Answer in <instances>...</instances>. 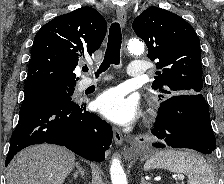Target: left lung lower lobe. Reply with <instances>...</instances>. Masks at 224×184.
Instances as JSON below:
<instances>
[{
	"label": "left lung lower lobe",
	"instance_id": "0a47b994",
	"mask_svg": "<svg viewBox=\"0 0 224 184\" xmlns=\"http://www.w3.org/2000/svg\"><path fill=\"white\" fill-rule=\"evenodd\" d=\"M152 134L157 148H190L211 154L216 148L207 104L202 94L171 96L161 104Z\"/></svg>",
	"mask_w": 224,
	"mask_h": 184
}]
</instances>
